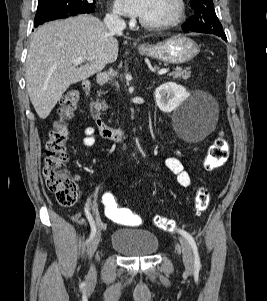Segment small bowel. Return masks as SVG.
<instances>
[{"mask_svg":"<svg viewBox=\"0 0 267 301\" xmlns=\"http://www.w3.org/2000/svg\"><path fill=\"white\" fill-rule=\"evenodd\" d=\"M83 142L86 146H93L95 144L94 129L92 127H86L84 129ZM167 168L175 175L177 182L183 187H189L192 184V179L188 171L185 169L182 161L176 157H168L165 160ZM89 205V204H88ZM86 214V213H85ZM88 215L93 218L97 223L99 229L105 230L106 225L101 222L100 215L98 213L95 203L88 206ZM71 219L77 222L81 226H88L90 224L87 214L86 217H81L80 213H74L71 215Z\"/></svg>","mask_w":267,"mask_h":301,"instance_id":"obj_1","label":"small bowel"}]
</instances>
